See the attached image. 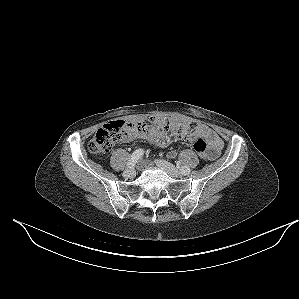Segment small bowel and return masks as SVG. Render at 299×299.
I'll return each instance as SVG.
<instances>
[{
    "label": "small bowel",
    "mask_w": 299,
    "mask_h": 299,
    "mask_svg": "<svg viewBox=\"0 0 299 299\" xmlns=\"http://www.w3.org/2000/svg\"><path fill=\"white\" fill-rule=\"evenodd\" d=\"M156 119L153 120V122ZM136 138L140 139H148L150 142L164 147L168 144V139L164 135V132L160 129V127L152 124L145 130H139L136 128L130 129L124 138L123 142H127ZM197 138H203L207 141L208 145V160L215 159L220 153L223 147V141L213 130H211L205 124L195 123L194 130L188 137L189 142L195 141ZM169 158L173 159L176 157L175 151L168 152L167 155Z\"/></svg>",
    "instance_id": "1"
}]
</instances>
